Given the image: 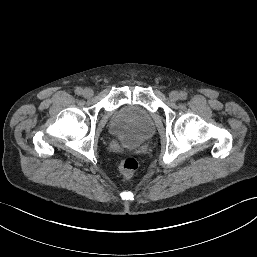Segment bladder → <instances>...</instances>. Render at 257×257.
<instances>
[{
	"label": "bladder",
	"mask_w": 257,
	"mask_h": 257,
	"mask_svg": "<svg viewBox=\"0 0 257 257\" xmlns=\"http://www.w3.org/2000/svg\"><path fill=\"white\" fill-rule=\"evenodd\" d=\"M110 131L129 145H138L150 139L155 127L150 114L136 106L123 107L112 119Z\"/></svg>",
	"instance_id": "31cf9c89"
}]
</instances>
